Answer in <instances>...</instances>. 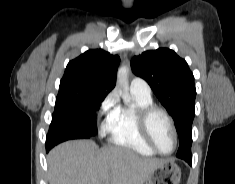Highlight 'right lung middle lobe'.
Here are the masks:
<instances>
[{
    "mask_svg": "<svg viewBox=\"0 0 235 184\" xmlns=\"http://www.w3.org/2000/svg\"><path fill=\"white\" fill-rule=\"evenodd\" d=\"M106 97L103 90L97 88H76L59 91L54 116L76 125L78 132L58 134L55 144L70 139L91 138L96 135V113Z\"/></svg>",
    "mask_w": 235,
    "mask_h": 184,
    "instance_id": "right-lung-middle-lobe-1",
    "label": "right lung middle lobe"
}]
</instances>
